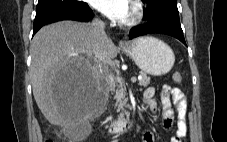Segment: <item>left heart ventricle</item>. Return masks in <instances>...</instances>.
Wrapping results in <instances>:
<instances>
[{
	"label": "left heart ventricle",
	"mask_w": 227,
	"mask_h": 142,
	"mask_svg": "<svg viewBox=\"0 0 227 142\" xmlns=\"http://www.w3.org/2000/svg\"><path fill=\"white\" fill-rule=\"evenodd\" d=\"M131 13H132V11H131V9H130V13H129V16H128V18H127V19H129V18H130V16H131Z\"/></svg>",
	"instance_id": "left-heart-ventricle-1"
}]
</instances>
